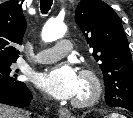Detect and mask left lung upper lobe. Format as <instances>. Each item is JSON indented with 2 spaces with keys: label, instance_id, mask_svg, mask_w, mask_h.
Segmentation results:
<instances>
[{
  "label": "left lung upper lobe",
  "instance_id": "1",
  "mask_svg": "<svg viewBox=\"0 0 133 118\" xmlns=\"http://www.w3.org/2000/svg\"><path fill=\"white\" fill-rule=\"evenodd\" d=\"M75 21L100 63L107 105L133 112L132 57L120 18L101 0H81Z\"/></svg>",
  "mask_w": 133,
  "mask_h": 118
}]
</instances>
